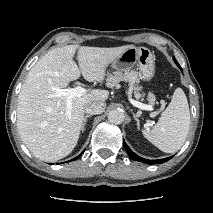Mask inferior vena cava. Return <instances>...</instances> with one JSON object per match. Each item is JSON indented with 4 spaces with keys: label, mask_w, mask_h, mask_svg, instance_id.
Returning <instances> with one entry per match:
<instances>
[{
    "label": "inferior vena cava",
    "mask_w": 213,
    "mask_h": 213,
    "mask_svg": "<svg viewBox=\"0 0 213 213\" xmlns=\"http://www.w3.org/2000/svg\"><path fill=\"white\" fill-rule=\"evenodd\" d=\"M106 104L104 102H90L85 105L84 112L90 115L101 114L104 112Z\"/></svg>",
    "instance_id": "602c4592"
}]
</instances>
